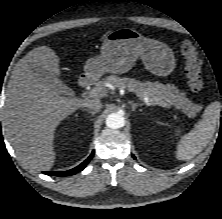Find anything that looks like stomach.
I'll list each match as a JSON object with an SVG mask.
<instances>
[{"instance_id": "obj_1", "label": "stomach", "mask_w": 222, "mask_h": 219, "mask_svg": "<svg viewBox=\"0 0 222 219\" xmlns=\"http://www.w3.org/2000/svg\"><path fill=\"white\" fill-rule=\"evenodd\" d=\"M138 58H141L148 71L158 76H167L175 68V56L168 45L144 37L134 29L121 28L105 37L100 56L87 60L85 76L96 80L106 72H128Z\"/></svg>"}]
</instances>
